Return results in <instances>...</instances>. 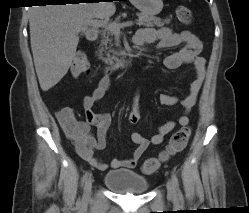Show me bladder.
Listing matches in <instances>:
<instances>
[{"label": "bladder", "mask_w": 249, "mask_h": 213, "mask_svg": "<svg viewBox=\"0 0 249 213\" xmlns=\"http://www.w3.org/2000/svg\"><path fill=\"white\" fill-rule=\"evenodd\" d=\"M104 185L119 194H144L149 188V181L139 173L129 169L109 171L104 177Z\"/></svg>", "instance_id": "31cf9c89"}]
</instances>
